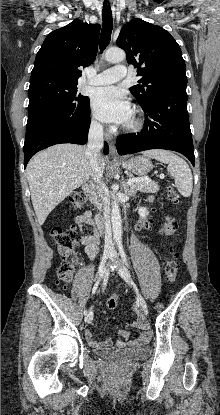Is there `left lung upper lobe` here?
I'll return each mask as SVG.
<instances>
[{
    "label": "left lung upper lobe",
    "instance_id": "left-lung-upper-lobe-1",
    "mask_svg": "<svg viewBox=\"0 0 220 415\" xmlns=\"http://www.w3.org/2000/svg\"><path fill=\"white\" fill-rule=\"evenodd\" d=\"M116 44L125 50L127 62L137 67L140 77L130 88L141 106L163 90L186 88V66L174 38L163 28L133 19L125 24Z\"/></svg>",
    "mask_w": 220,
    "mask_h": 415
}]
</instances>
